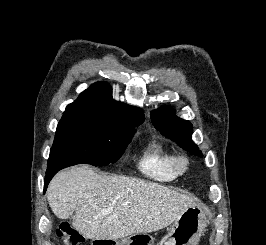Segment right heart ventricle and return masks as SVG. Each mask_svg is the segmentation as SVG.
Masks as SVG:
<instances>
[{
	"label": "right heart ventricle",
	"instance_id": "obj_1",
	"mask_svg": "<svg viewBox=\"0 0 266 245\" xmlns=\"http://www.w3.org/2000/svg\"><path fill=\"white\" fill-rule=\"evenodd\" d=\"M175 153L157 138L141 149L138 169L146 178L157 183H171L180 177L174 167Z\"/></svg>",
	"mask_w": 266,
	"mask_h": 245
}]
</instances>
